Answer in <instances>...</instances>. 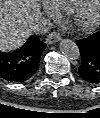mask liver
I'll list each match as a JSON object with an SVG mask.
<instances>
[{
	"label": "liver",
	"mask_w": 100,
	"mask_h": 118,
	"mask_svg": "<svg viewBox=\"0 0 100 118\" xmlns=\"http://www.w3.org/2000/svg\"><path fill=\"white\" fill-rule=\"evenodd\" d=\"M38 0H0V49L20 48L31 35L30 24L40 17Z\"/></svg>",
	"instance_id": "obj_1"
}]
</instances>
